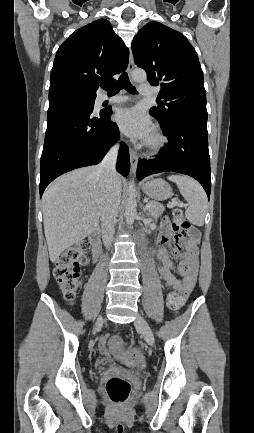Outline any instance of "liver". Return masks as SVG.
I'll use <instances>...</instances> for the list:
<instances>
[{
    "label": "liver",
    "mask_w": 254,
    "mask_h": 433,
    "mask_svg": "<svg viewBox=\"0 0 254 433\" xmlns=\"http://www.w3.org/2000/svg\"><path fill=\"white\" fill-rule=\"evenodd\" d=\"M106 195L105 175L97 166L69 172L47 188L43 222L51 262L97 228Z\"/></svg>",
    "instance_id": "liver-1"
}]
</instances>
